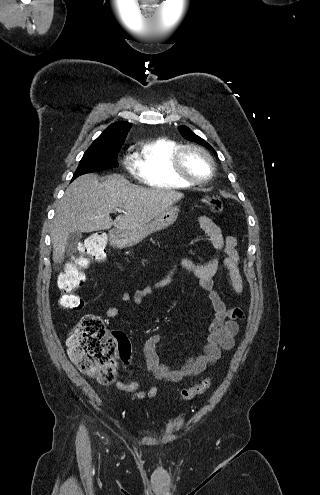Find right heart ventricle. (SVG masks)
<instances>
[{"instance_id":"right-heart-ventricle-1","label":"right heart ventricle","mask_w":320,"mask_h":495,"mask_svg":"<svg viewBox=\"0 0 320 495\" xmlns=\"http://www.w3.org/2000/svg\"><path fill=\"white\" fill-rule=\"evenodd\" d=\"M180 145L159 137L142 143L134 154V169L138 179L147 186L180 189L191 184L180 179L173 171L172 156Z\"/></svg>"}]
</instances>
